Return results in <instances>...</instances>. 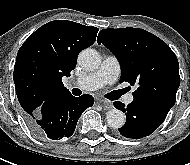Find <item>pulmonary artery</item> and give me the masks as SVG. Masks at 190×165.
<instances>
[{
    "mask_svg": "<svg viewBox=\"0 0 190 165\" xmlns=\"http://www.w3.org/2000/svg\"><path fill=\"white\" fill-rule=\"evenodd\" d=\"M120 72L121 65L118 59L114 56H107L96 71L75 79L73 83L83 90H95L115 82ZM133 100L134 97L131 93L124 99L126 104L132 103Z\"/></svg>",
    "mask_w": 190,
    "mask_h": 165,
    "instance_id": "pulmonary-artery-1",
    "label": "pulmonary artery"
}]
</instances>
